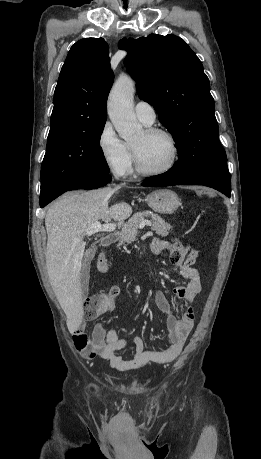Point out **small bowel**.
Listing matches in <instances>:
<instances>
[{
  "label": "small bowel",
  "mask_w": 261,
  "mask_h": 459,
  "mask_svg": "<svg viewBox=\"0 0 261 459\" xmlns=\"http://www.w3.org/2000/svg\"><path fill=\"white\" fill-rule=\"evenodd\" d=\"M151 250L156 254H167L171 265L178 268L186 280L185 286L176 287L172 291L183 304V310L179 315L175 314L173 306L164 292L157 291L154 296L157 307L166 319L167 347L158 351H146L140 337L120 339L116 330L106 331L101 323L96 324L91 335H88L85 324L79 322L72 328L71 332L74 347L83 358L87 360L99 358L107 361L111 369L117 372H126L151 363H170L181 354L195 321L192 303L201 291L200 274L194 267L198 258V251L189 249L178 242L168 244L157 238L153 239ZM120 292L121 287L119 285H113L108 290L109 300L101 310L100 315L113 310V300ZM129 345L134 347V354L130 359L117 355L119 350Z\"/></svg>",
  "instance_id": "obj_1"
}]
</instances>
